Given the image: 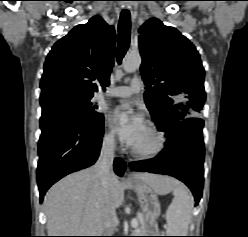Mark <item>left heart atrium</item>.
Masks as SVG:
<instances>
[{
    "instance_id": "obj_1",
    "label": "left heart atrium",
    "mask_w": 248,
    "mask_h": 237,
    "mask_svg": "<svg viewBox=\"0 0 248 237\" xmlns=\"http://www.w3.org/2000/svg\"><path fill=\"white\" fill-rule=\"evenodd\" d=\"M110 121L121 140L132 147L146 129L143 116L133 112L128 105L116 107L110 114Z\"/></svg>"
}]
</instances>
